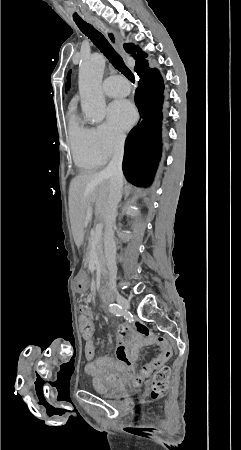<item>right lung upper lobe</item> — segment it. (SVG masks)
I'll return each instance as SVG.
<instances>
[{
    "mask_svg": "<svg viewBox=\"0 0 241 450\" xmlns=\"http://www.w3.org/2000/svg\"><path fill=\"white\" fill-rule=\"evenodd\" d=\"M123 46L126 52L131 54V56L136 60L135 68L138 67L140 64H144L147 61L145 59V57H147V54L144 53L138 45L135 46L132 43H127L124 44Z\"/></svg>",
    "mask_w": 241,
    "mask_h": 450,
    "instance_id": "1",
    "label": "right lung upper lobe"
}]
</instances>
